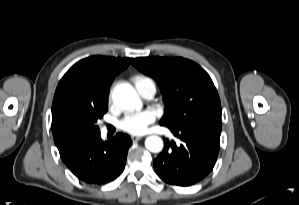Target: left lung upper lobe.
<instances>
[{"label": "left lung upper lobe", "mask_w": 299, "mask_h": 205, "mask_svg": "<svg viewBox=\"0 0 299 205\" xmlns=\"http://www.w3.org/2000/svg\"><path fill=\"white\" fill-rule=\"evenodd\" d=\"M161 88L166 111L161 125L180 127L221 120V103L207 72L182 57H141L132 63Z\"/></svg>", "instance_id": "obj_1"}]
</instances>
